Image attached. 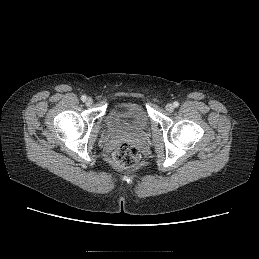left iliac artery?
<instances>
[{
  "mask_svg": "<svg viewBox=\"0 0 259 259\" xmlns=\"http://www.w3.org/2000/svg\"><path fill=\"white\" fill-rule=\"evenodd\" d=\"M173 105H174V107H178V106H179V103H178L177 101H175V102L173 103Z\"/></svg>",
  "mask_w": 259,
  "mask_h": 259,
  "instance_id": "left-iliac-artery-1",
  "label": "left iliac artery"
}]
</instances>
